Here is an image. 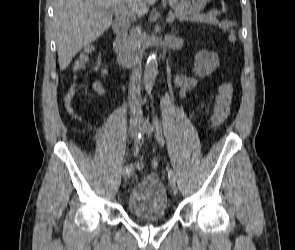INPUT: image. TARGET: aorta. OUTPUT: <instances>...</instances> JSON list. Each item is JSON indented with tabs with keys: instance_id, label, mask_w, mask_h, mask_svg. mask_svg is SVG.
Here are the masks:
<instances>
[{
	"instance_id": "1",
	"label": "aorta",
	"mask_w": 295,
	"mask_h": 250,
	"mask_svg": "<svg viewBox=\"0 0 295 250\" xmlns=\"http://www.w3.org/2000/svg\"><path fill=\"white\" fill-rule=\"evenodd\" d=\"M157 69H158V59L156 52H151L147 62L145 64V70H144V83L145 88L147 90L151 89L154 85L156 75H157Z\"/></svg>"
}]
</instances>
